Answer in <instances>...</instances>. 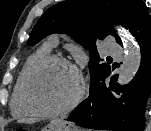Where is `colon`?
Listing matches in <instances>:
<instances>
[{"label": "colon", "instance_id": "5ec220e1", "mask_svg": "<svg viewBox=\"0 0 151 131\" xmlns=\"http://www.w3.org/2000/svg\"><path fill=\"white\" fill-rule=\"evenodd\" d=\"M16 131H27V130L24 129V128H19V129H17Z\"/></svg>", "mask_w": 151, "mask_h": 131}]
</instances>
